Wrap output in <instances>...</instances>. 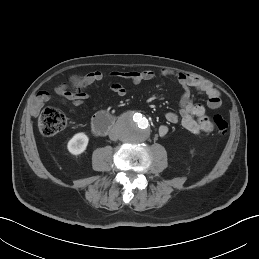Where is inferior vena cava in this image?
<instances>
[{
    "mask_svg": "<svg viewBox=\"0 0 259 259\" xmlns=\"http://www.w3.org/2000/svg\"><path fill=\"white\" fill-rule=\"evenodd\" d=\"M109 137H110L111 140H117L119 138V135L115 131H112L109 134Z\"/></svg>",
    "mask_w": 259,
    "mask_h": 259,
    "instance_id": "inferior-vena-cava-1",
    "label": "inferior vena cava"
}]
</instances>
